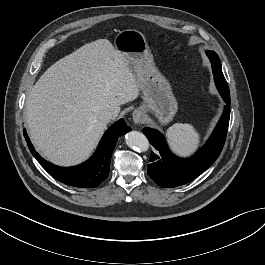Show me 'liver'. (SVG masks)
Instances as JSON below:
<instances>
[{
	"mask_svg": "<svg viewBox=\"0 0 265 265\" xmlns=\"http://www.w3.org/2000/svg\"><path fill=\"white\" fill-rule=\"evenodd\" d=\"M129 62L107 39L87 43L55 62L31 88L26 123L36 149L60 166L83 162L106 128L99 119L138 98Z\"/></svg>",
	"mask_w": 265,
	"mask_h": 265,
	"instance_id": "6515ba94",
	"label": "liver"
}]
</instances>
